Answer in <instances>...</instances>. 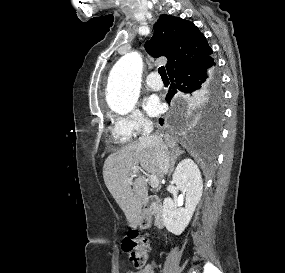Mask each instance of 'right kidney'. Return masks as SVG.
I'll list each match as a JSON object with an SVG mask.
<instances>
[{"mask_svg":"<svg viewBox=\"0 0 285 273\" xmlns=\"http://www.w3.org/2000/svg\"><path fill=\"white\" fill-rule=\"evenodd\" d=\"M173 182L180 191L186 193L185 208H177L175 201L165 198L162 217L166 229L180 235L188 226L201 199L203 180L198 166L193 160L186 158L178 164L173 174Z\"/></svg>","mask_w":285,"mask_h":273,"instance_id":"right-kidney-1","label":"right kidney"}]
</instances>
